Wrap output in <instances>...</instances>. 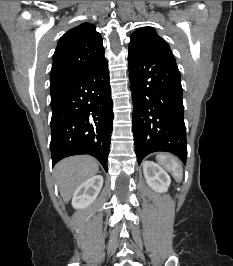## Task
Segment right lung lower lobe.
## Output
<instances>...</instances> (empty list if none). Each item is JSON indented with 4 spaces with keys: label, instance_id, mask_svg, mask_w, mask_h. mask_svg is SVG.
Segmentation results:
<instances>
[{
    "label": "right lung lower lobe",
    "instance_id": "obj_1",
    "mask_svg": "<svg viewBox=\"0 0 233 266\" xmlns=\"http://www.w3.org/2000/svg\"><path fill=\"white\" fill-rule=\"evenodd\" d=\"M50 93L52 165L89 154L107 171L114 116L107 60Z\"/></svg>",
    "mask_w": 233,
    "mask_h": 266
}]
</instances>
